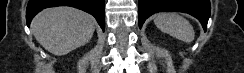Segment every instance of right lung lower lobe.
Segmentation results:
<instances>
[{
	"label": "right lung lower lobe",
	"instance_id": "98d812e1",
	"mask_svg": "<svg viewBox=\"0 0 244 73\" xmlns=\"http://www.w3.org/2000/svg\"><path fill=\"white\" fill-rule=\"evenodd\" d=\"M54 6H72L93 15L104 31L105 6L104 0H29L26 10L27 25L30 26L32 18L41 10Z\"/></svg>",
	"mask_w": 244,
	"mask_h": 73
}]
</instances>
